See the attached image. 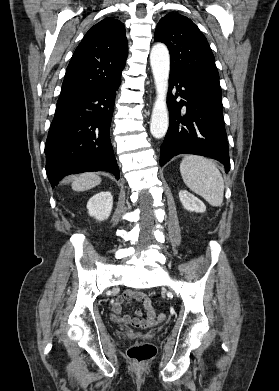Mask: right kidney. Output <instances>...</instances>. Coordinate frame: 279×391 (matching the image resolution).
<instances>
[{
    "mask_svg": "<svg viewBox=\"0 0 279 391\" xmlns=\"http://www.w3.org/2000/svg\"><path fill=\"white\" fill-rule=\"evenodd\" d=\"M113 206V196L108 191H103L91 197L87 203L90 216L99 221L108 219Z\"/></svg>",
    "mask_w": 279,
    "mask_h": 391,
    "instance_id": "obj_1",
    "label": "right kidney"
}]
</instances>
